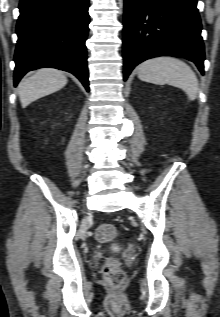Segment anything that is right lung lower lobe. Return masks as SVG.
I'll return each mask as SVG.
<instances>
[{"instance_id": "right-lung-lower-lobe-1", "label": "right lung lower lobe", "mask_w": 220, "mask_h": 317, "mask_svg": "<svg viewBox=\"0 0 220 317\" xmlns=\"http://www.w3.org/2000/svg\"><path fill=\"white\" fill-rule=\"evenodd\" d=\"M88 0H20L14 84L30 70L52 67L74 74L89 91Z\"/></svg>"}]
</instances>
